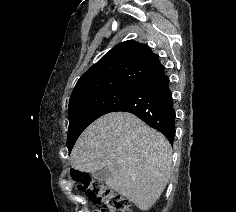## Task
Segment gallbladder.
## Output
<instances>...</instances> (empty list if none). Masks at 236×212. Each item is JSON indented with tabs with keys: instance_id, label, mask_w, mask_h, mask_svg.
Returning <instances> with one entry per match:
<instances>
[{
	"instance_id": "gallbladder-1",
	"label": "gallbladder",
	"mask_w": 236,
	"mask_h": 212,
	"mask_svg": "<svg viewBox=\"0 0 236 212\" xmlns=\"http://www.w3.org/2000/svg\"><path fill=\"white\" fill-rule=\"evenodd\" d=\"M92 177L99 181H106L110 177V171L107 168H102L92 173Z\"/></svg>"
}]
</instances>
